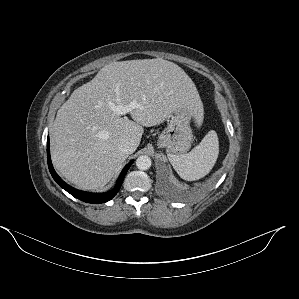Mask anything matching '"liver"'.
<instances>
[{
	"label": "liver",
	"instance_id": "liver-1",
	"mask_svg": "<svg viewBox=\"0 0 299 299\" xmlns=\"http://www.w3.org/2000/svg\"><path fill=\"white\" fill-rule=\"evenodd\" d=\"M139 106L121 117L118 105ZM188 106L200 126L203 104L191 78L177 64L162 58L112 62L88 83L73 91L59 108L51 128V157L55 169L83 190L104 187L129 154L124 139L138 146L143 127L164 122Z\"/></svg>",
	"mask_w": 299,
	"mask_h": 299
}]
</instances>
